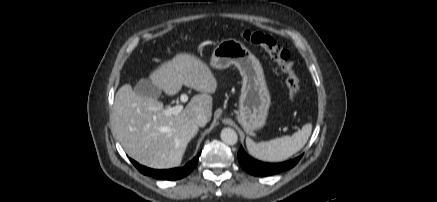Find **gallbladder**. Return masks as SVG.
I'll list each match as a JSON object with an SVG mask.
<instances>
[{
	"label": "gallbladder",
	"instance_id": "obj_1",
	"mask_svg": "<svg viewBox=\"0 0 437 202\" xmlns=\"http://www.w3.org/2000/svg\"><path fill=\"white\" fill-rule=\"evenodd\" d=\"M136 94L142 97L158 98L161 94V90L150 80L141 79L134 86Z\"/></svg>",
	"mask_w": 437,
	"mask_h": 202
}]
</instances>
